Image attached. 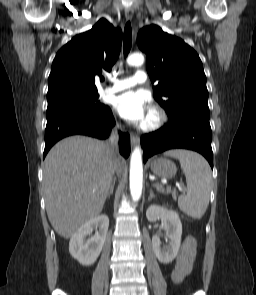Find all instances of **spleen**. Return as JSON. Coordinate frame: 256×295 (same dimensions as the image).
<instances>
[{"mask_svg": "<svg viewBox=\"0 0 256 295\" xmlns=\"http://www.w3.org/2000/svg\"><path fill=\"white\" fill-rule=\"evenodd\" d=\"M165 155L179 159L186 177L187 193L179 198V208L188 216L200 219L210 198L212 176L209 164L201 155L188 150H171Z\"/></svg>", "mask_w": 256, "mask_h": 295, "instance_id": "1", "label": "spleen"}]
</instances>
